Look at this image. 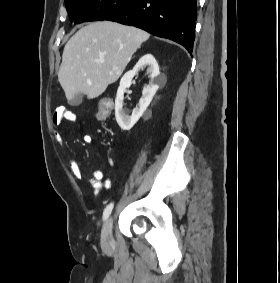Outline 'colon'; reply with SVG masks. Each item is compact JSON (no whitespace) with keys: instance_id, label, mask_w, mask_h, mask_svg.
<instances>
[{"instance_id":"5ec220e1","label":"colon","mask_w":280,"mask_h":283,"mask_svg":"<svg viewBox=\"0 0 280 283\" xmlns=\"http://www.w3.org/2000/svg\"><path fill=\"white\" fill-rule=\"evenodd\" d=\"M110 99H103L99 103V110L96 112V119L107 120L111 112H114V107H111Z\"/></svg>"}]
</instances>
